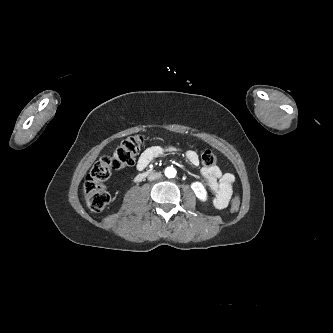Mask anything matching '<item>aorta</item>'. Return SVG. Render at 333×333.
<instances>
[{"label":"aorta","instance_id":"1","mask_svg":"<svg viewBox=\"0 0 333 333\" xmlns=\"http://www.w3.org/2000/svg\"><path fill=\"white\" fill-rule=\"evenodd\" d=\"M165 175L168 178H174L176 176V170L173 167H167L165 169Z\"/></svg>","mask_w":333,"mask_h":333}]
</instances>
